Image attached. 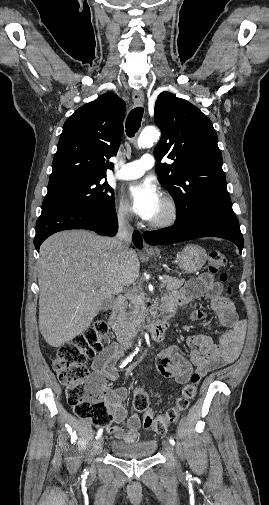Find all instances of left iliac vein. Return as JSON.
Segmentation results:
<instances>
[{
  "label": "left iliac vein",
  "instance_id": "4c4485c4",
  "mask_svg": "<svg viewBox=\"0 0 269 505\" xmlns=\"http://www.w3.org/2000/svg\"><path fill=\"white\" fill-rule=\"evenodd\" d=\"M163 448H164V450H165L168 454H170V455H174V448H173V446H172L170 443H168V442H164V443H163Z\"/></svg>",
  "mask_w": 269,
  "mask_h": 505
}]
</instances>
